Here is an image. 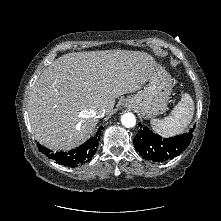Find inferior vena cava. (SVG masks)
I'll return each mask as SVG.
<instances>
[{
  "mask_svg": "<svg viewBox=\"0 0 221 221\" xmlns=\"http://www.w3.org/2000/svg\"><path fill=\"white\" fill-rule=\"evenodd\" d=\"M105 113H106V109L103 107H98L93 111V115L96 118H102L105 115Z\"/></svg>",
  "mask_w": 221,
  "mask_h": 221,
  "instance_id": "1",
  "label": "inferior vena cava"
}]
</instances>
